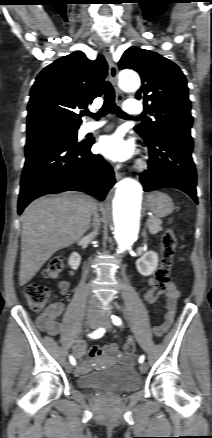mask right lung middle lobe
I'll return each mask as SVG.
<instances>
[{
    "label": "right lung middle lobe",
    "instance_id": "dd1d6c3e",
    "mask_svg": "<svg viewBox=\"0 0 212 438\" xmlns=\"http://www.w3.org/2000/svg\"><path fill=\"white\" fill-rule=\"evenodd\" d=\"M79 127H71V126H46V127H40L32 130H27V135H35L40 134L44 132H51V131H59L65 136H69L71 139L77 140V130Z\"/></svg>",
    "mask_w": 212,
    "mask_h": 438
}]
</instances>
